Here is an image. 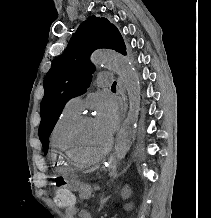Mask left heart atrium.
<instances>
[{
	"mask_svg": "<svg viewBox=\"0 0 211 218\" xmlns=\"http://www.w3.org/2000/svg\"><path fill=\"white\" fill-rule=\"evenodd\" d=\"M96 125L106 134L112 136L118 128L119 112L116 103L109 96H100L95 103Z\"/></svg>",
	"mask_w": 211,
	"mask_h": 218,
	"instance_id": "1",
	"label": "left heart atrium"
}]
</instances>
